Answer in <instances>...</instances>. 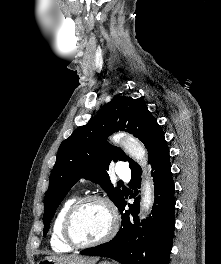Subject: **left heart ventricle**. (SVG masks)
<instances>
[{
    "label": "left heart ventricle",
    "mask_w": 221,
    "mask_h": 264,
    "mask_svg": "<svg viewBox=\"0 0 221 264\" xmlns=\"http://www.w3.org/2000/svg\"><path fill=\"white\" fill-rule=\"evenodd\" d=\"M110 227L107 209L95 202L83 205L73 219V234L79 242H93L103 237Z\"/></svg>",
    "instance_id": "obj_1"
}]
</instances>
